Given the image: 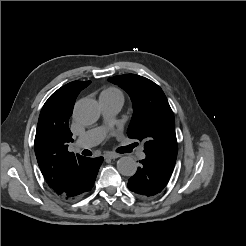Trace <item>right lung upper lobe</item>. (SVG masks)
Instances as JSON below:
<instances>
[{
  "label": "right lung upper lobe",
  "mask_w": 246,
  "mask_h": 246,
  "mask_svg": "<svg viewBox=\"0 0 246 246\" xmlns=\"http://www.w3.org/2000/svg\"><path fill=\"white\" fill-rule=\"evenodd\" d=\"M90 83L73 81L62 86L48 98L41 110L34 148L41 173L53 190L85 158L68 151V143L73 142L69 118L78 94Z\"/></svg>",
  "instance_id": "right-lung-upper-lobe-1"
}]
</instances>
